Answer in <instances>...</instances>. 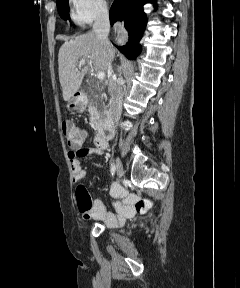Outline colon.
Here are the masks:
<instances>
[{
  "mask_svg": "<svg viewBox=\"0 0 240 288\" xmlns=\"http://www.w3.org/2000/svg\"><path fill=\"white\" fill-rule=\"evenodd\" d=\"M62 130L70 146L82 145L86 139L85 132L71 121H64Z\"/></svg>",
  "mask_w": 240,
  "mask_h": 288,
  "instance_id": "colon-1",
  "label": "colon"
}]
</instances>
